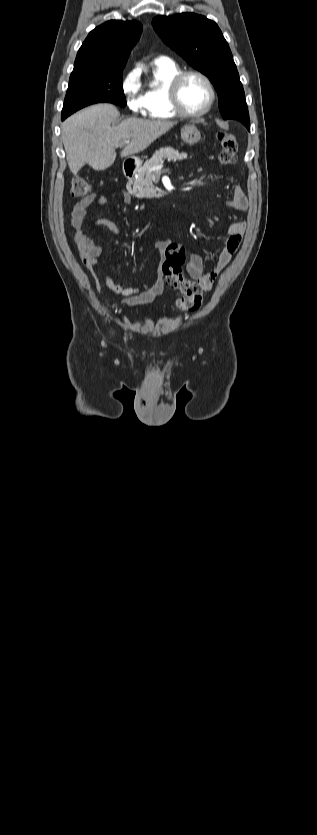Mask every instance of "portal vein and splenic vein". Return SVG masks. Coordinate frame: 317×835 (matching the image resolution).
Segmentation results:
<instances>
[{
	"instance_id": "18ae733b",
	"label": "portal vein and splenic vein",
	"mask_w": 317,
	"mask_h": 835,
	"mask_svg": "<svg viewBox=\"0 0 317 835\" xmlns=\"http://www.w3.org/2000/svg\"><path fill=\"white\" fill-rule=\"evenodd\" d=\"M129 142H130V141H129V140H127L126 142H123V143H122V144H120L119 146H120V147H123L126 143H129ZM162 168H163V164H159V165H157V166H154V167H152V168H149V171H159V170H161Z\"/></svg>"
}]
</instances>
